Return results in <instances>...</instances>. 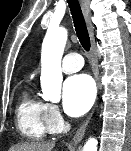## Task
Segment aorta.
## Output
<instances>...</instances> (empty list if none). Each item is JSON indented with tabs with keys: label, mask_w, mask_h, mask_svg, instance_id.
Segmentation results:
<instances>
[{
	"label": "aorta",
	"mask_w": 131,
	"mask_h": 151,
	"mask_svg": "<svg viewBox=\"0 0 131 151\" xmlns=\"http://www.w3.org/2000/svg\"><path fill=\"white\" fill-rule=\"evenodd\" d=\"M67 41V30L63 27L49 28L42 46L41 87L43 97L57 101L61 93L62 71L61 59ZM98 141L89 138L83 151H97Z\"/></svg>",
	"instance_id": "aorta-1"
}]
</instances>
